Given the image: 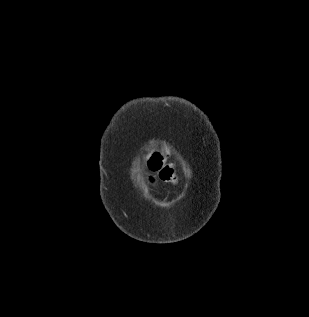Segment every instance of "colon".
Listing matches in <instances>:
<instances>
[{"label": "colon", "mask_w": 309, "mask_h": 317, "mask_svg": "<svg viewBox=\"0 0 309 317\" xmlns=\"http://www.w3.org/2000/svg\"><path fill=\"white\" fill-rule=\"evenodd\" d=\"M150 168L157 171L160 179L175 182L177 175L174 168L163 161L162 156L155 155L150 161Z\"/></svg>", "instance_id": "1"}]
</instances>
